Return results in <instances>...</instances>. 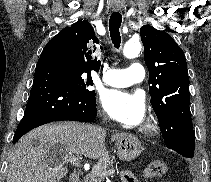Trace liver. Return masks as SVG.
Returning <instances> with one entry per match:
<instances>
[{"label": "liver", "instance_id": "6515ba94", "mask_svg": "<svg viewBox=\"0 0 211 182\" xmlns=\"http://www.w3.org/2000/svg\"><path fill=\"white\" fill-rule=\"evenodd\" d=\"M126 135L117 133L111 142ZM105 137L106 130L94 125L66 122L40 126L23 136L10 153L7 182H59L68 173L67 154L102 157L107 153ZM57 145L63 155L47 160L46 154Z\"/></svg>", "mask_w": 211, "mask_h": 182}]
</instances>
